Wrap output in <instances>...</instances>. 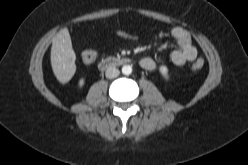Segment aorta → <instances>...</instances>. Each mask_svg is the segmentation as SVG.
I'll return each mask as SVG.
<instances>
[{"mask_svg":"<svg viewBox=\"0 0 248 165\" xmlns=\"http://www.w3.org/2000/svg\"><path fill=\"white\" fill-rule=\"evenodd\" d=\"M122 73L124 75H130L132 73V67L130 65H124L122 67Z\"/></svg>","mask_w":248,"mask_h":165,"instance_id":"1","label":"aorta"}]
</instances>
